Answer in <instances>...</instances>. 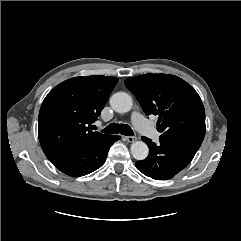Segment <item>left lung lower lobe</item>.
Wrapping results in <instances>:
<instances>
[{
  "label": "left lung lower lobe",
  "instance_id": "obj_1",
  "mask_svg": "<svg viewBox=\"0 0 241 241\" xmlns=\"http://www.w3.org/2000/svg\"><path fill=\"white\" fill-rule=\"evenodd\" d=\"M149 147L145 160L137 161L136 168L144 175L155 180H168L183 170L193 159L202 142L159 138L156 144L151 139L142 137Z\"/></svg>",
  "mask_w": 241,
  "mask_h": 241
}]
</instances>
